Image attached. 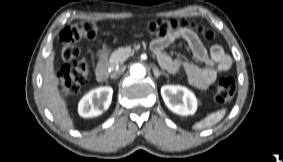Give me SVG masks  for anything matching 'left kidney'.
<instances>
[{
  "label": "left kidney",
  "mask_w": 283,
  "mask_h": 162,
  "mask_svg": "<svg viewBox=\"0 0 283 162\" xmlns=\"http://www.w3.org/2000/svg\"><path fill=\"white\" fill-rule=\"evenodd\" d=\"M161 95L168 109L176 114L187 116L196 112L197 99L194 93L184 86L164 85Z\"/></svg>",
  "instance_id": "1"
}]
</instances>
